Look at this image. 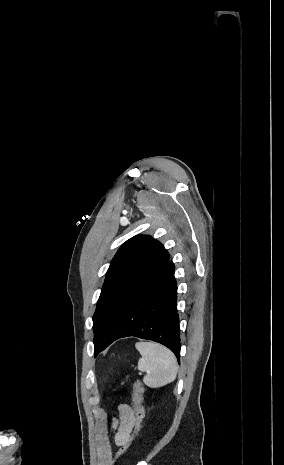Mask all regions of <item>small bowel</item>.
Here are the masks:
<instances>
[{
  "mask_svg": "<svg viewBox=\"0 0 284 465\" xmlns=\"http://www.w3.org/2000/svg\"><path fill=\"white\" fill-rule=\"evenodd\" d=\"M118 411L119 419H113L111 425L114 430L115 444L122 447L129 442L136 422V412L127 404L119 405Z\"/></svg>",
  "mask_w": 284,
  "mask_h": 465,
  "instance_id": "1",
  "label": "small bowel"
}]
</instances>
